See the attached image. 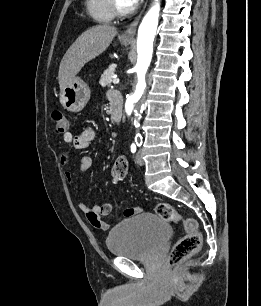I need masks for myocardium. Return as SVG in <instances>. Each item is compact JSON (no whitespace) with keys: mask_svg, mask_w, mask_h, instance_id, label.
I'll use <instances>...</instances> for the list:
<instances>
[{"mask_svg":"<svg viewBox=\"0 0 261 306\" xmlns=\"http://www.w3.org/2000/svg\"><path fill=\"white\" fill-rule=\"evenodd\" d=\"M110 6L114 14L118 16H125V15L132 13L133 11V7L131 6L125 7V8L121 7L118 4L117 0H110Z\"/></svg>","mask_w":261,"mask_h":306,"instance_id":"f54148a6","label":"myocardium"}]
</instances>
